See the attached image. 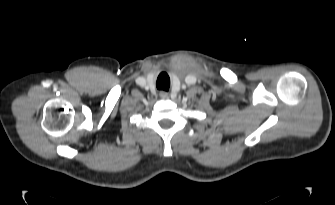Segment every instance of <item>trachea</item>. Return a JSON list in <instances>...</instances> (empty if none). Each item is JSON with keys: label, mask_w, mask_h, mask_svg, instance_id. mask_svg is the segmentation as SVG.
<instances>
[{"label": "trachea", "mask_w": 335, "mask_h": 205, "mask_svg": "<svg viewBox=\"0 0 335 205\" xmlns=\"http://www.w3.org/2000/svg\"><path fill=\"white\" fill-rule=\"evenodd\" d=\"M157 87H158V84H157ZM159 88V87H158ZM168 88H169V86L168 87H166V88H163L164 90H168Z\"/></svg>", "instance_id": "1"}]
</instances>
